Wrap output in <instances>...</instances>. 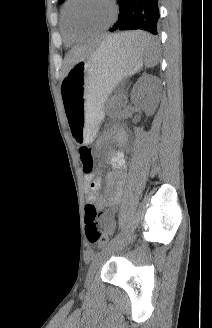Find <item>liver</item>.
I'll use <instances>...</instances> for the list:
<instances>
[{
  "label": "liver",
  "mask_w": 212,
  "mask_h": 328,
  "mask_svg": "<svg viewBox=\"0 0 212 328\" xmlns=\"http://www.w3.org/2000/svg\"><path fill=\"white\" fill-rule=\"evenodd\" d=\"M110 36H108V37H110ZM92 53H94L92 50H90L88 48H84V47L74 48V49L70 50L65 59L66 72H68L69 69L73 65H75L79 61L87 58Z\"/></svg>",
  "instance_id": "obj_1"
}]
</instances>
